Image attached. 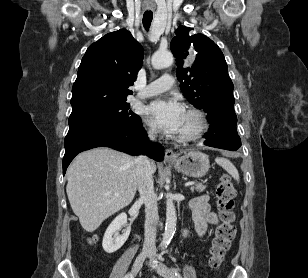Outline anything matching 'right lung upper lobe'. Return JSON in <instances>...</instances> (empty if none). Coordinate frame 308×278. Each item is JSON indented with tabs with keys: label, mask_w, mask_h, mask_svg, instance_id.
Here are the masks:
<instances>
[{
	"label": "right lung upper lobe",
	"mask_w": 308,
	"mask_h": 278,
	"mask_svg": "<svg viewBox=\"0 0 308 278\" xmlns=\"http://www.w3.org/2000/svg\"><path fill=\"white\" fill-rule=\"evenodd\" d=\"M143 56V48L125 29L91 44L73 84L70 116L126 102Z\"/></svg>",
	"instance_id": "cb5924a9"
}]
</instances>
